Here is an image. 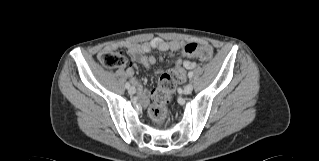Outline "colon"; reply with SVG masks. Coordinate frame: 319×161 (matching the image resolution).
I'll list each match as a JSON object with an SVG mask.
<instances>
[{
	"label": "colon",
	"instance_id": "colon-1",
	"mask_svg": "<svg viewBox=\"0 0 319 161\" xmlns=\"http://www.w3.org/2000/svg\"><path fill=\"white\" fill-rule=\"evenodd\" d=\"M185 55H193L197 52V57L201 61H208L212 58L213 52L210 47H203L198 51L196 42H188L183 48ZM102 64L109 69L123 67L127 63V57L119 51H107L101 56ZM182 82V68L175 67L165 72L160 78L158 87L153 91V103L150 107V115L159 122H164L168 118V105L172 93Z\"/></svg>",
	"mask_w": 319,
	"mask_h": 161
}]
</instances>
